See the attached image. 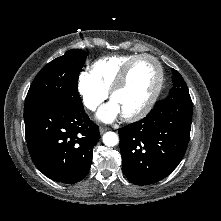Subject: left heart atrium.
I'll return each instance as SVG.
<instances>
[{"instance_id":"obj_1","label":"left heart atrium","mask_w":221,"mask_h":221,"mask_svg":"<svg viewBox=\"0 0 221 221\" xmlns=\"http://www.w3.org/2000/svg\"><path fill=\"white\" fill-rule=\"evenodd\" d=\"M121 115V111L118 105L114 101H110L105 104L97 113V118L105 123L114 121L118 116Z\"/></svg>"}]
</instances>
